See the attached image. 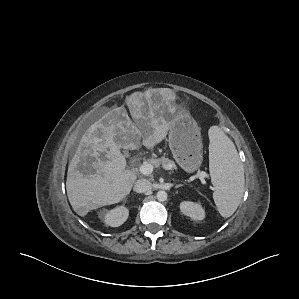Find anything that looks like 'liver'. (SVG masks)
Returning a JSON list of instances; mask_svg holds the SVG:
<instances>
[{
  "label": "liver",
  "instance_id": "obj_1",
  "mask_svg": "<svg viewBox=\"0 0 299 299\" xmlns=\"http://www.w3.org/2000/svg\"><path fill=\"white\" fill-rule=\"evenodd\" d=\"M165 97L167 95H164ZM135 123L124 106L109 110L83 134L69 162L66 190L73 210L80 216L123 200L131 191L137 174L126 170L120 149L135 150L140 145L153 148L169 130V122L151 99L145 104L130 99Z\"/></svg>",
  "mask_w": 299,
  "mask_h": 299
}]
</instances>
